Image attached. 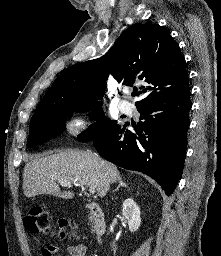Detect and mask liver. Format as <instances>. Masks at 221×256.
<instances>
[{
    "mask_svg": "<svg viewBox=\"0 0 221 256\" xmlns=\"http://www.w3.org/2000/svg\"><path fill=\"white\" fill-rule=\"evenodd\" d=\"M120 178L117 167L90 151L68 150L27 163L23 171V190L28 198L40 194L72 199V191L62 192L59 181L94 187L103 198L110 184ZM58 182V184L56 183Z\"/></svg>",
    "mask_w": 221,
    "mask_h": 256,
    "instance_id": "obj_1",
    "label": "liver"
}]
</instances>
